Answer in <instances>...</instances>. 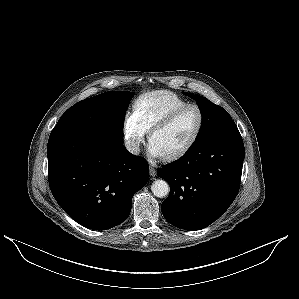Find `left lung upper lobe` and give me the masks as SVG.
<instances>
[{
  "label": "left lung upper lobe",
  "instance_id": "1",
  "mask_svg": "<svg viewBox=\"0 0 299 299\" xmlns=\"http://www.w3.org/2000/svg\"><path fill=\"white\" fill-rule=\"evenodd\" d=\"M185 94L197 102L202 115L200 131L191 147L201 145L213 133L217 132L226 124L233 122L231 116L225 109L212 103L207 98L192 93Z\"/></svg>",
  "mask_w": 299,
  "mask_h": 299
}]
</instances>
